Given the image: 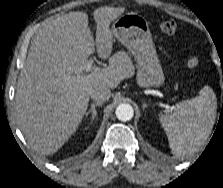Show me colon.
Wrapping results in <instances>:
<instances>
[{
    "instance_id": "colon-1",
    "label": "colon",
    "mask_w": 223,
    "mask_h": 188,
    "mask_svg": "<svg viewBox=\"0 0 223 188\" xmlns=\"http://www.w3.org/2000/svg\"><path fill=\"white\" fill-rule=\"evenodd\" d=\"M160 29L166 34H173L177 30V22L174 20H163L160 22ZM186 64L189 68H195L199 64V57L196 54H191L186 60Z\"/></svg>"
}]
</instances>
